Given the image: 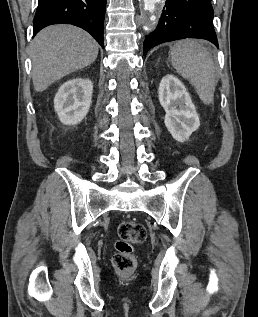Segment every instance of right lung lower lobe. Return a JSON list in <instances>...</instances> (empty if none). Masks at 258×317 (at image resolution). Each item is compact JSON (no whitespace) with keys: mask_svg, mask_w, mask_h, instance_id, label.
Listing matches in <instances>:
<instances>
[{"mask_svg":"<svg viewBox=\"0 0 258 317\" xmlns=\"http://www.w3.org/2000/svg\"><path fill=\"white\" fill-rule=\"evenodd\" d=\"M105 9L106 0H39L33 36L52 24H72L89 32L103 48Z\"/></svg>","mask_w":258,"mask_h":317,"instance_id":"right-lung-lower-lobe-1","label":"right lung lower lobe"}]
</instances>
